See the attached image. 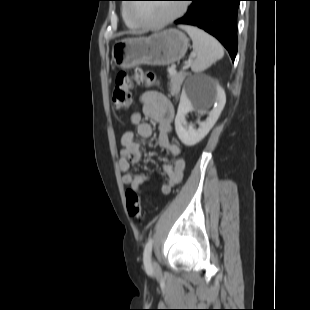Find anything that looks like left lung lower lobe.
Segmentation results:
<instances>
[{"mask_svg":"<svg viewBox=\"0 0 310 310\" xmlns=\"http://www.w3.org/2000/svg\"><path fill=\"white\" fill-rule=\"evenodd\" d=\"M192 4L175 24L201 28L217 38L234 61L237 54V13L242 0H188Z\"/></svg>","mask_w":310,"mask_h":310,"instance_id":"left-lung-lower-lobe-1","label":"left lung lower lobe"}]
</instances>
